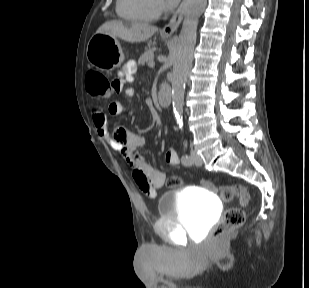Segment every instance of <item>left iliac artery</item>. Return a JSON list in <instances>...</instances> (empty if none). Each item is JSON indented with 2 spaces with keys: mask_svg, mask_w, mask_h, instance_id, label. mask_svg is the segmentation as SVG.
Segmentation results:
<instances>
[{
  "mask_svg": "<svg viewBox=\"0 0 309 288\" xmlns=\"http://www.w3.org/2000/svg\"><path fill=\"white\" fill-rule=\"evenodd\" d=\"M187 147H188V143H187V141H184V153L181 157V161L186 166L192 164V160H191L190 156L185 151L187 149Z\"/></svg>",
  "mask_w": 309,
  "mask_h": 288,
  "instance_id": "obj_1",
  "label": "left iliac artery"
}]
</instances>
